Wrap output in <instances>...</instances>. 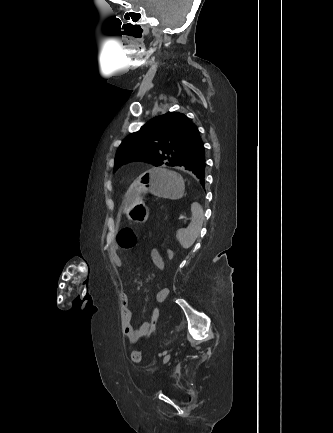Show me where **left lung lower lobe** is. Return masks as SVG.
Returning a JSON list of instances; mask_svg holds the SVG:
<instances>
[{
	"mask_svg": "<svg viewBox=\"0 0 333 433\" xmlns=\"http://www.w3.org/2000/svg\"><path fill=\"white\" fill-rule=\"evenodd\" d=\"M203 142L184 157L177 166L195 175L205 185V151Z\"/></svg>",
	"mask_w": 333,
	"mask_h": 433,
	"instance_id": "left-lung-lower-lobe-1",
	"label": "left lung lower lobe"
}]
</instances>
